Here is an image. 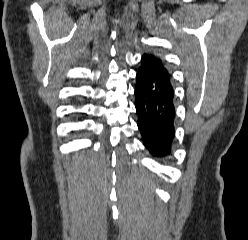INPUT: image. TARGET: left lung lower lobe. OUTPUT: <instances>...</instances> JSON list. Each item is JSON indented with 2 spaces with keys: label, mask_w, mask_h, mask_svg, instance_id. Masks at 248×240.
Listing matches in <instances>:
<instances>
[{
  "label": "left lung lower lobe",
  "mask_w": 248,
  "mask_h": 240,
  "mask_svg": "<svg viewBox=\"0 0 248 240\" xmlns=\"http://www.w3.org/2000/svg\"><path fill=\"white\" fill-rule=\"evenodd\" d=\"M135 98L137 125L144 146L155 157L170 155L176 122L171 76L146 54L136 75Z\"/></svg>",
  "instance_id": "1"
}]
</instances>
